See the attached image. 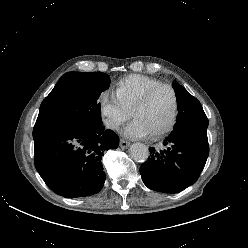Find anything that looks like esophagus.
<instances>
[{
    "label": "esophagus",
    "mask_w": 248,
    "mask_h": 248,
    "mask_svg": "<svg viewBox=\"0 0 248 248\" xmlns=\"http://www.w3.org/2000/svg\"><path fill=\"white\" fill-rule=\"evenodd\" d=\"M130 145V143L124 139H120V147L123 148V149H126L128 148Z\"/></svg>",
    "instance_id": "34e87169"
}]
</instances>
